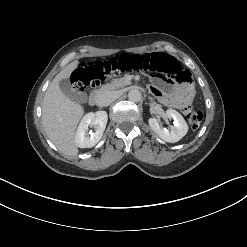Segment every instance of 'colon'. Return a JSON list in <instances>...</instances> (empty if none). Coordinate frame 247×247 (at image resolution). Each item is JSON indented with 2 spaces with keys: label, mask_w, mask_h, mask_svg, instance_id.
<instances>
[{
  "label": "colon",
  "mask_w": 247,
  "mask_h": 247,
  "mask_svg": "<svg viewBox=\"0 0 247 247\" xmlns=\"http://www.w3.org/2000/svg\"><path fill=\"white\" fill-rule=\"evenodd\" d=\"M143 71L173 79L177 83L191 84L190 73L182 68L178 61L166 53L123 55L108 61H95L79 64L72 74V87L77 92H83L98 87L108 76L129 71ZM189 125L197 129L203 119V114L190 110L187 114Z\"/></svg>",
  "instance_id": "obj_1"
}]
</instances>
